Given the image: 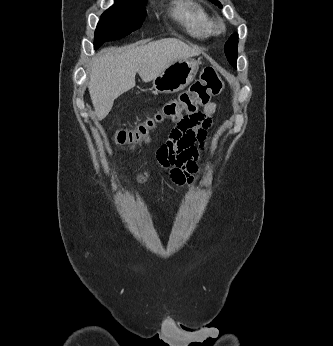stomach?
I'll list each match as a JSON object with an SVG mask.
<instances>
[{"mask_svg": "<svg viewBox=\"0 0 333 346\" xmlns=\"http://www.w3.org/2000/svg\"><path fill=\"white\" fill-rule=\"evenodd\" d=\"M200 63L191 58L174 62L152 80L154 89L163 94L185 89L194 80Z\"/></svg>", "mask_w": 333, "mask_h": 346, "instance_id": "stomach-1", "label": "stomach"}]
</instances>
